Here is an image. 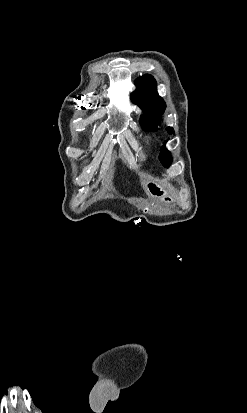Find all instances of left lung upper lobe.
<instances>
[{
	"label": "left lung upper lobe",
	"mask_w": 247,
	"mask_h": 413,
	"mask_svg": "<svg viewBox=\"0 0 247 413\" xmlns=\"http://www.w3.org/2000/svg\"><path fill=\"white\" fill-rule=\"evenodd\" d=\"M135 84L137 90L131 94V99L143 110V115L140 117L141 127L145 131L154 132L157 130L166 104L157 93L156 80L153 76L139 77ZM166 130L169 134L174 133L171 127H167ZM159 160L166 167L172 163V156L165 147L161 150Z\"/></svg>",
	"instance_id": "left-lung-upper-lobe-1"
}]
</instances>
